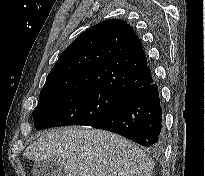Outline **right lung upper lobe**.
Instances as JSON below:
<instances>
[{
  "label": "right lung upper lobe",
  "mask_w": 205,
  "mask_h": 176,
  "mask_svg": "<svg viewBox=\"0 0 205 176\" xmlns=\"http://www.w3.org/2000/svg\"><path fill=\"white\" fill-rule=\"evenodd\" d=\"M152 80L133 28L123 20L110 19L83 32L62 52L40 96L87 89L126 96Z\"/></svg>",
  "instance_id": "1"
}]
</instances>
